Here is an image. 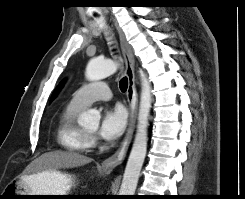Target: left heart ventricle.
<instances>
[{
    "mask_svg": "<svg viewBox=\"0 0 245 199\" xmlns=\"http://www.w3.org/2000/svg\"><path fill=\"white\" fill-rule=\"evenodd\" d=\"M96 129H97V126H94V127L90 128V129L87 130V131H88L89 133H95Z\"/></svg>",
    "mask_w": 245,
    "mask_h": 199,
    "instance_id": "left-heart-ventricle-1",
    "label": "left heart ventricle"
}]
</instances>
